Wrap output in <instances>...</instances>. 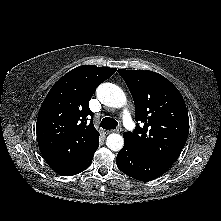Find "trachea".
<instances>
[{
  "mask_svg": "<svg viewBox=\"0 0 221 221\" xmlns=\"http://www.w3.org/2000/svg\"><path fill=\"white\" fill-rule=\"evenodd\" d=\"M118 122L110 117H105L101 121V127L103 129H116Z\"/></svg>",
  "mask_w": 221,
  "mask_h": 221,
  "instance_id": "obj_1",
  "label": "trachea"
}]
</instances>
